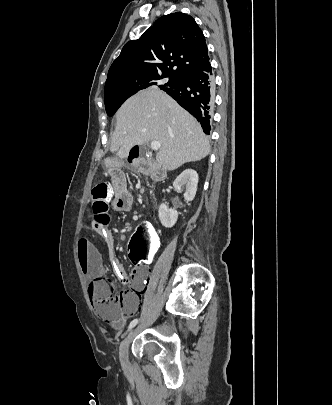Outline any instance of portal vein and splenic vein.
I'll use <instances>...</instances> for the list:
<instances>
[{"instance_id": "obj_1", "label": "portal vein and splenic vein", "mask_w": 332, "mask_h": 405, "mask_svg": "<svg viewBox=\"0 0 332 405\" xmlns=\"http://www.w3.org/2000/svg\"><path fill=\"white\" fill-rule=\"evenodd\" d=\"M150 146L152 150L157 151L159 150L161 144L159 141H152Z\"/></svg>"}]
</instances>
